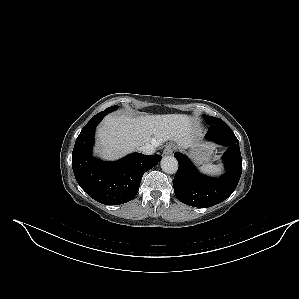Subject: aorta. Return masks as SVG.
I'll list each match as a JSON object with an SVG mask.
<instances>
[{
	"instance_id": "aorta-1",
	"label": "aorta",
	"mask_w": 299,
	"mask_h": 299,
	"mask_svg": "<svg viewBox=\"0 0 299 299\" xmlns=\"http://www.w3.org/2000/svg\"><path fill=\"white\" fill-rule=\"evenodd\" d=\"M161 168L165 173L174 174L178 170V161L173 156H165L161 160Z\"/></svg>"
}]
</instances>
